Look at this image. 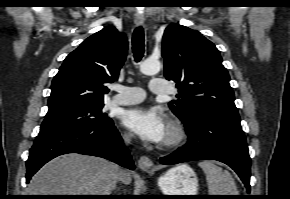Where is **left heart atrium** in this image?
Returning <instances> with one entry per match:
<instances>
[{
    "mask_svg": "<svg viewBox=\"0 0 290 199\" xmlns=\"http://www.w3.org/2000/svg\"><path fill=\"white\" fill-rule=\"evenodd\" d=\"M122 123L146 142H162L167 132L165 117L156 108H131L124 112Z\"/></svg>",
    "mask_w": 290,
    "mask_h": 199,
    "instance_id": "left-heart-atrium-1",
    "label": "left heart atrium"
}]
</instances>
